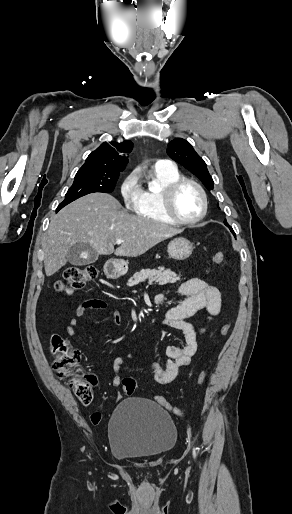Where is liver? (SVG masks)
<instances>
[{
  "label": "liver",
  "mask_w": 292,
  "mask_h": 514,
  "mask_svg": "<svg viewBox=\"0 0 292 514\" xmlns=\"http://www.w3.org/2000/svg\"><path fill=\"white\" fill-rule=\"evenodd\" d=\"M183 230L128 214L109 194H88L63 208L51 218L44 248L46 276L58 272L67 262L68 252L77 242H86L96 254L136 258ZM117 240H124L114 250Z\"/></svg>",
  "instance_id": "1"
}]
</instances>
